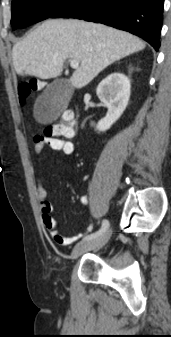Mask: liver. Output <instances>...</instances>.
<instances>
[{
	"instance_id": "1",
	"label": "liver",
	"mask_w": 171,
	"mask_h": 337,
	"mask_svg": "<svg viewBox=\"0 0 171 337\" xmlns=\"http://www.w3.org/2000/svg\"><path fill=\"white\" fill-rule=\"evenodd\" d=\"M144 48L138 37L112 27L77 19H49L14 44L12 60L18 75L41 79L59 76L67 59L76 60L80 66L68 82L80 89L115 61Z\"/></svg>"
}]
</instances>
